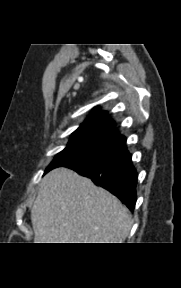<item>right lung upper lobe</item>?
<instances>
[{"mask_svg": "<svg viewBox=\"0 0 181 288\" xmlns=\"http://www.w3.org/2000/svg\"><path fill=\"white\" fill-rule=\"evenodd\" d=\"M95 109V108H94ZM70 141L85 142L113 153L122 155L127 151L126 139L114 128V121L108 118L105 111L89 116L80 127L73 132Z\"/></svg>", "mask_w": 181, "mask_h": 288, "instance_id": "1", "label": "right lung upper lobe"}]
</instances>
